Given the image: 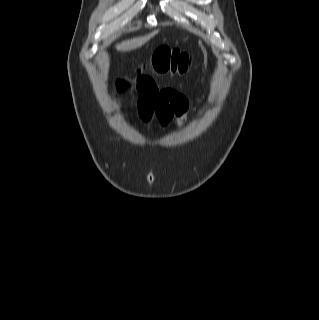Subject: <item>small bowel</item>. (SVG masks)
I'll use <instances>...</instances> for the list:
<instances>
[{"instance_id":"1","label":"small bowel","mask_w":319,"mask_h":320,"mask_svg":"<svg viewBox=\"0 0 319 320\" xmlns=\"http://www.w3.org/2000/svg\"><path fill=\"white\" fill-rule=\"evenodd\" d=\"M139 95V112L156 117L161 123L168 124L174 117L180 126L188 111L185 97L171 88L158 89L154 80L143 76L136 81Z\"/></svg>"}]
</instances>
